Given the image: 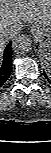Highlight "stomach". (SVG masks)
I'll list each match as a JSON object with an SVG mask.
<instances>
[{
	"label": "stomach",
	"instance_id": "stomach-1",
	"mask_svg": "<svg viewBox=\"0 0 51 153\" xmlns=\"http://www.w3.org/2000/svg\"><path fill=\"white\" fill-rule=\"evenodd\" d=\"M33 32L39 41L42 52L50 54L51 51V24H35Z\"/></svg>",
	"mask_w": 51,
	"mask_h": 153
}]
</instances>
